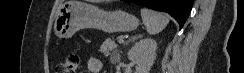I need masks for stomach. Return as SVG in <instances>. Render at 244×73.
Listing matches in <instances>:
<instances>
[{"label": "stomach", "mask_w": 244, "mask_h": 73, "mask_svg": "<svg viewBox=\"0 0 244 73\" xmlns=\"http://www.w3.org/2000/svg\"><path fill=\"white\" fill-rule=\"evenodd\" d=\"M138 25V19L127 12L106 11L82 1L69 0L59 10L53 29L59 39H64L83 28H94L105 33H123L135 30Z\"/></svg>", "instance_id": "stomach-1"}]
</instances>
